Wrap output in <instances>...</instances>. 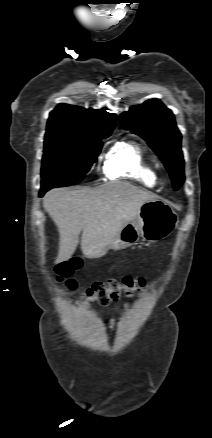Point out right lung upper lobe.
Segmentation results:
<instances>
[{
    "instance_id": "cb5924a9",
    "label": "right lung upper lobe",
    "mask_w": 212,
    "mask_h": 438,
    "mask_svg": "<svg viewBox=\"0 0 212 438\" xmlns=\"http://www.w3.org/2000/svg\"><path fill=\"white\" fill-rule=\"evenodd\" d=\"M105 110L59 104L50 113L46 135L61 134L74 137L110 135L116 125V116Z\"/></svg>"
}]
</instances>
